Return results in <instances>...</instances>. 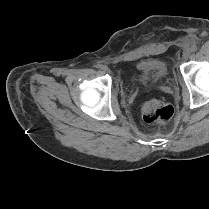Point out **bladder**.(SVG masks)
I'll use <instances>...</instances> for the list:
<instances>
[{
	"label": "bladder",
	"mask_w": 209,
	"mask_h": 209,
	"mask_svg": "<svg viewBox=\"0 0 209 209\" xmlns=\"http://www.w3.org/2000/svg\"><path fill=\"white\" fill-rule=\"evenodd\" d=\"M133 78L142 84L163 81L167 76L166 64L155 58L142 59L137 62Z\"/></svg>",
	"instance_id": "bladder-1"
}]
</instances>
